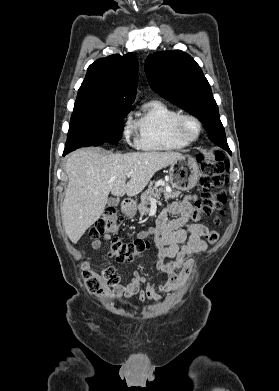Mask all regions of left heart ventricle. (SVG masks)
<instances>
[{"label":"left heart ventricle","mask_w":279,"mask_h":391,"mask_svg":"<svg viewBox=\"0 0 279 391\" xmlns=\"http://www.w3.org/2000/svg\"><path fill=\"white\" fill-rule=\"evenodd\" d=\"M184 132L188 137H193L196 134L195 124L191 121L186 122Z\"/></svg>","instance_id":"left-heart-ventricle-1"}]
</instances>
